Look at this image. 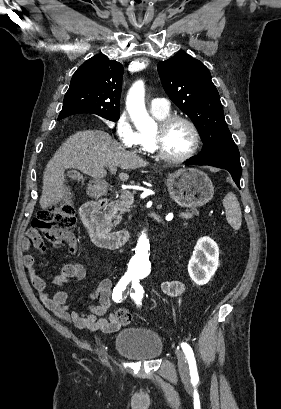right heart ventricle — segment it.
Returning <instances> with one entry per match:
<instances>
[{"label": "right heart ventricle", "instance_id": "obj_1", "mask_svg": "<svg viewBox=\"0 0 281 409\" xmlns=\"http://www.w3.org/2000/svg\"><path fill=\"white\" fill-rule=\"evenodd\" d=\"M153 115L155 116V118L157 120H162L165 117L168 116V113H161V112H156L153 111ZM137 148L141 151L147 152V153H152L150 146H149V142H148V138L146 133H139L138 134V143H137Z\"/></svg>", "mask_w": 281, "mask_h": 409}]
</instances>
